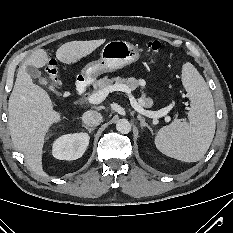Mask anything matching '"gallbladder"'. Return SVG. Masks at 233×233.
Here are the masks:
<instances>
[{
	"label": "gallbladder",
	"instance_id": "gallbladder-1",
	"mask_svg": "<svg viewBox=\"0 0 233 233\" xmlns=\"http://www.w3.org/2000/svg\"><path fill=\"white\" fill-rule=\"evenodd\" d=\"M26 71L32 78L38 79L39 84H41V85L47 84V80L45 78L41 77V71L39 69H37L33 66H27Z\"/></svg>",
	"mask_w": 233,
	"mask_h": 233
}]
</instances>
